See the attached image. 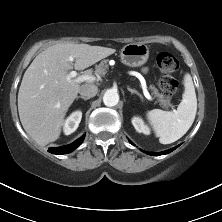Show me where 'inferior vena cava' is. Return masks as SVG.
Returning a JSON list of instances; mask_svg holds the SVG:
<instances>
[{"label": "inferior vena cava", "instance_id": "inferior-vena-cava-1", "mask_svg": "<svg viewBox=\"0 0 222 222\" xmlns=\"http://www.w3.org/2000/svg\"><path fill=\"white\" fill-rule=\"evenodd\" d=\"M98 92V88L96 85L94 84H84L81 86L80 90H79V94L82 96V97H85V98H91V97H94Z\"/></svg>", "mask_w": 222, "mask_h": 222}]
</instances>
